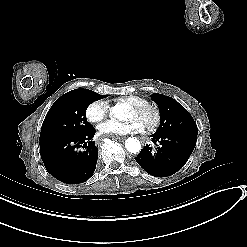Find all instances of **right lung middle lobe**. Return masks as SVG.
Listing matches in <instances>:
<instances>
[{"label": "right lung middle lobe", "mask_w": 247, "mask_h": 247, "mask_svg": "<svg viewBox=\"0 0 247 247\" xmlns=\"http://www.w3.org/2000/svg\"><path fill=\"white\" fill-rule=\"evenodd\" d=\"M89 89H74L58 98L49 109L41 128L39 141L60 136H76L93 126L87 122L90 103L106 97Z\"/></svg>", "instance_id": "obj_1"}]
</instances>
